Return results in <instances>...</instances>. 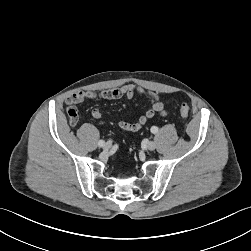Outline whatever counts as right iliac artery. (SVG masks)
Instances as JSON below:
<instances>
[{
    "instance_id": "obj_1",
    "label": "right iliac artery",
    "mask_w": 251,
    "mask_h": 251,
    "mask_svg": "<svg viewBox=\"0 0 251 251\" xmlns=\"http://www.w3.org/2000/svg\"><path fill=\"white\" fill-rule=\"evenodd\" d=\"M105 145V141L104 140H100L99 142H98V146L99 147H103Z\"/></svg>"
}]
</instances>
